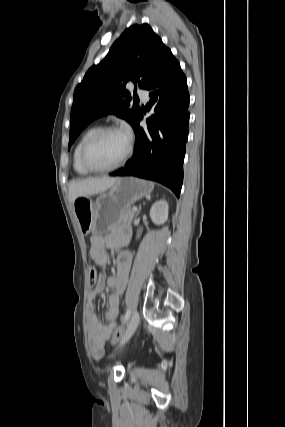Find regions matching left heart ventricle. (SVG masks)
I'll list each match as a JSON object with an SVG mask.
<instances>
[{"instance_id": "obj_1", "label": "left heart ventricle", "mask_w": 285, "mask_h": 427, "mask_svg": "<svg viewBox=\"0 0 285 427\" xmlns=\"http://www.w3.org/2000/svg\"><path fill=\"white\" fill-rule=\"evenodd\" d=\"M128 138L122 132H110L91 147L90 161L96 166H108L117 162L126 152Z\"/></svg>"}]
</instances>
